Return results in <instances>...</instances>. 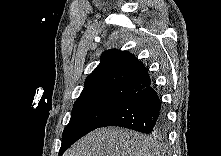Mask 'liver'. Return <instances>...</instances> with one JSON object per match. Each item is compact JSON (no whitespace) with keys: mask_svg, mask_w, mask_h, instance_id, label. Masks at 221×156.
<instances>
[{"mask_svg":"<svg viewBox=\"0 0 221 156\" xmlns=\"http://www.w3.org/2000/svg\"><path fill=\"white\" fill-rule=\"evenodd\" d=\"M160 144L125 128L97 129L68 149L64 156H160Z\"/></svg>","mask_w":221,"mask_h":156,"instance_id":"obj_1","label":"liver"}]
</instances>
